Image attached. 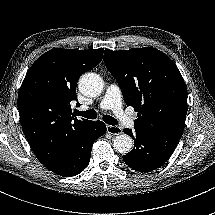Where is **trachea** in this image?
<instances>
[{"label":"trachea","instance_id":"1","mask_svg":"<svg viewBox=\"0 0 215 215\" xmlns=\"http://www.w3.org/2000/svg\"><path fill=\"white\" fill-rule=\"evenodd\" d=\"M74 115L75 116H82V117H85L87 119H95L97 117L96 111L92 110V109L87 110V111H78L75 109ZM103 120H104V122H106L109 125H117L118 124V121L114 117L109 116V115H104Z\"/></svg>","mask_w":215,"mask_h":215}]
</instances>
